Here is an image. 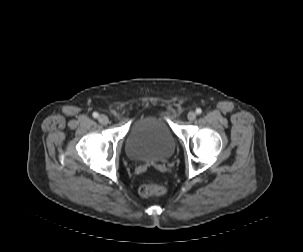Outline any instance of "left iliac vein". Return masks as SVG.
I'll return each instance as SVG.
<instances>
[{
  "mask_svg": "<svg viewBox=\"0 0 303 252\" xmlns=\"http://www.w3.org/2000/svg\"><path fill=\"white\" fill-rule=\"evenodd\" d=\"M187 118L189 121H194L196 119V113L193 112V111H190L188 114H187Z\"/></svg>",
  "mask_w": 303,
  "mask_h": 252,
  "instance_id": "obj_1",
  "label": "left iliac vein"
}]
</instances>
